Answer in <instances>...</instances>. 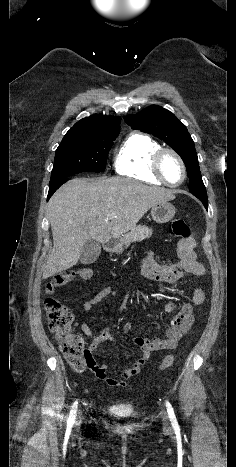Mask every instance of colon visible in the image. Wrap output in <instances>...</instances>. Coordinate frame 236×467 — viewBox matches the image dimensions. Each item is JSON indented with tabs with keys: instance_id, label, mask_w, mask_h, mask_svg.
Wrapping results in <instances>:
<instances>
[{
	"instance_id": "5ec220e1",
	"label": "colon",
	"mask_w": 236,
	"mask_h": 467,
	"mask_svg": "<svg viewBox=\"0 0 236 467\" xmlns=\"http://www.w3.org/2000/svg\"><path fill=\"white\" fill-rule=\"evenodd\" d=\"M171 226L176 236L184 240L190 238L191 230L184 219H173ZM92 275L93 271L90 267H80L77 270L65 271L54 275L46 285L47 297L44 301V307L48 327L58 340L62 355L76 372L83 371L91 365L93 361L92 354L86 347L84 338L72 330L73 314L54 294L75 278L88 280ZM173 363L174 357L168 355L160 364L159 369L164 371L170 368Z\"/></svg>"
}]
</instances>
